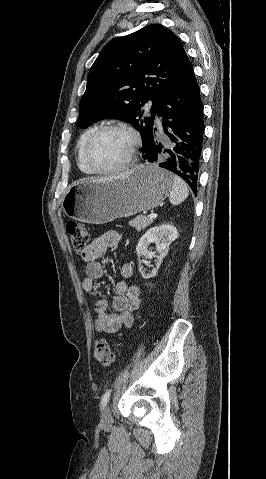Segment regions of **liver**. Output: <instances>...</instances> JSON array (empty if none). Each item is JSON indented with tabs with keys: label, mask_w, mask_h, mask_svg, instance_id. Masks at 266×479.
<instances>
[{
	"label": "liver",
	"mask_w": 266,
	"mask_h": 479,
	"mask_svg": "<svg viewBox=\"0 0 266 479\" xmlns=\"http://www.w3.org/2000/svg\"><path fill=\"white\" fill-rule=\"evenodd\" d=\"M126 174H127V173L121 174V175H119L118 177H122V176H124V175H126ZM118 177L100 178V179H96L95 181H105V180L115 179V178H118Z\"/></svg>",
	"instance_id": "obj_1"
}]
</instances>
